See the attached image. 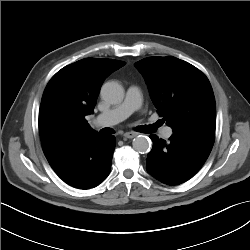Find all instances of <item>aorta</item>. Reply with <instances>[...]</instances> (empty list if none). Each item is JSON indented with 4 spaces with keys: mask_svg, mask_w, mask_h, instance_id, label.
I'll return each mask as SVG.
<instances>
[{
    "mask_svg": "<svg viewBox=\"0 0 250 250\" xmlns=\"http://www.w3.org/2000/svg\"><path fill=\"white\" fill-rule=\"evenodd\" d=\"M101 97L109 104H119L124 98V89L117 82H106L101 88ZM133 148L139 153H146L151 146V141L148 137L139 135L133 139Z\"/></svg>",
    "mask_w": 250,
    "mask_h": 250,
    "instance_id": "aorta-1",
    "label": "aorta"
}]
</instances>
